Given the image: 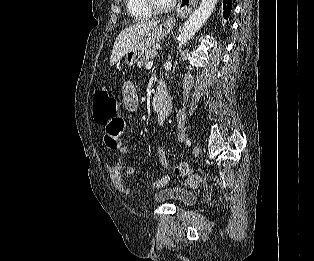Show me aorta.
Wrapping results in <instances>:
<instances>
[{"instance_id": "aorta-1", "label": "aorta", "mask_w": 314, "mask_h": 261, "mask_svg": "<svg viewBox=\"0 0 314 261\" xmlns=\"http://www.w3.org/2000/svg\"><path fill=\"white\" fill-rule=\"evenodd\" d=\"M216 4L217 0H202L198 9L184 23L178 36V48L185 45L203 26L212 14Z\"/></svg>"}]
</instances>
